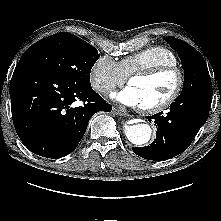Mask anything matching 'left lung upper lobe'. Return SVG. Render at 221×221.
<instances>
[{"label": "left lung upper lobe", "mask_w": 221, "mask_h": 221, "mask_svg": "<svg viewBox=\"0 0 221 221\" xmlns=\"http://www.w3.org/2000/svg\"><path fill=\"white\" fill-rule=\"evenodd\" d=\"M169 45L177 51L184 69L183 89L178 99L208 87H212L207 64L201 54L191 45L173 36L167 37Z\"/></svg>", "instance_id": "1"}]
</instances>
